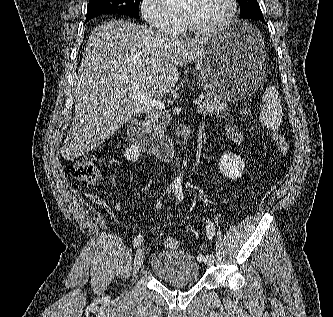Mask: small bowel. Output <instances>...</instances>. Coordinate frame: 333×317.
Returning a JSON list of instances; mask_svg holds the SVG:
<instances>
[{"label":"small bowel","mask_w":333,"mask_h":317,"mask_svg":"<svg viewBox=\"0 0 333 317\" xmlns=\"http://www.w3.org/2000/svg\"><path fill=\"white\" fill-rule=\"evenodd\" d=\"M227 135H228V138L234 143H238L242 140V135H241L240 131L238 129H236L235 127H232V126L228 127ZM107 181H108V183L110 184L111 187L115 186L116 182H115V178H114L113 173H109L107 175ZM89 197L97 205H100V206L104 207L106 210H110V206L102 198L94 196V195H90ZM122 205H123L122 200H119L116 203L115 208L118 212L121 211Z\"/></svg>","instance_id":"c3829d8e"}]
</instances>
